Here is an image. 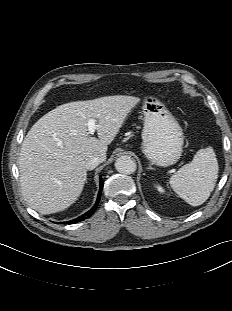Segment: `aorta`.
Returning a JSON list of instances; mask_svg holds the SVG:
<instances>
[{
    "label": "aorta",
    "mask_w": 232,
    "mask_h": 311,
    "mask_svg": "<svg viewBox=\"0 0 232 311\" xmlns=\"http://www.w3.org/2000/svg\"><path fill=\"white\" fill-rule=\"evenodd\" d=\"M115 168L123 174H132L136 171L137 165L129 156H121L115 162Z\"/></svg>",
    "instance_id": "762f6f07"
}]
</instances>
